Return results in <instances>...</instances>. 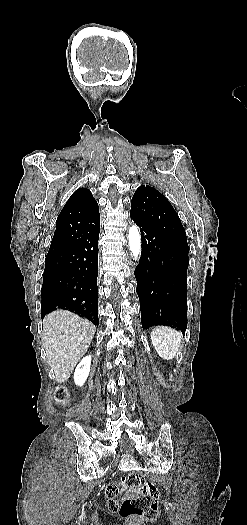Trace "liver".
Listing matches in <instances>:
<instances>
[{
	"label": "liver",
	"instance_id": "obj_1",
	"mask_svg": "<svg viewBox=\"0 0 247 525\" xmlns=\"http://www.w3.org/2000/svg\"><path fill=\"white\" fill-rule=\"evenodd\" d=\"M91 321L71 311H53L43 319L42 347L50 365V375L57 383H65L78 361L87 353L95 335Z\"/></svg>",
	"mask_w": 247,
	"mask_h": 525
}]
</instances>
